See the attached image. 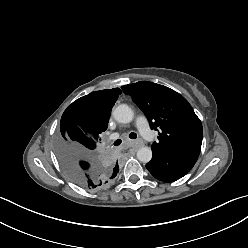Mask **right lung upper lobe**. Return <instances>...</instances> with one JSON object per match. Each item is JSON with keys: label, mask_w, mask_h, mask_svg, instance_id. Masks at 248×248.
<instances>
[{"label": "right lung upper lobe", "mask_w": 248, "mask_h": 248, "mask_svg": "<svg viewBox=\"0 0 248 248\" xmlns=\"http://www.w3.org/2000/svg\"><path fill=\"white\" fill-rule=\"evenodd\" d=\"M121 92L119 88L105 89L77 99L64 111L60 123V128H72L81 136L80 141L67 142V147L100 158L113 175L119 171L118 163L115 165L112 159L101 153L98 144L101 133L107 129L111 109Z\"/></svg>", "instance_id": "obj_1"}]
</instances>
